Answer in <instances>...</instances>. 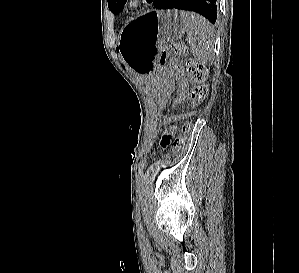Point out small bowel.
<instances>
[{"instance_id":"small-bowel-1","label":"small bowel","mask_w":299,"mask_h":273,"mask_svg":"<svg viewBox=\"0 0 299 273\" xmlns=\"http://www.w3.org/2000/svg\"><path fill=\"white\" fill-rule=\"evenodd\" d=\"M170 141V134H167L163 137V140H162V145L163 146H166Z\"/></svg>"}]
</instances>
